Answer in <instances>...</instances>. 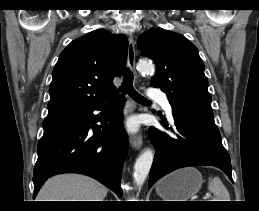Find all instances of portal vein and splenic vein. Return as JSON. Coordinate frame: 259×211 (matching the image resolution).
I'll list each match as a JSON object with an SVG mask.
<instances>
[{"mask_svg":"<svg viewBox=\"0 0 259 211\" xmlns=\"http://www.w3.org/2000/svg\"><path fill=\"white\" fill-rule=\"evenodd\" d=\"M211 197V195L210 194H207L205 197H204V199H208V198H210Z\"/></svg>","mask_w":259,"mask_h":211,"instance_id":"18ae733b","label":"portal vein and splenic vein"}]
</instances>
